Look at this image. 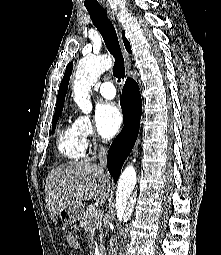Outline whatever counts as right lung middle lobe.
<instances>
[{
    "instance_id": "dd1d6c3e",
    "label": "right lung middle lobe",
    "mask_w": 221,
    "mask_h": 255,
    "mask_svg": "<svg viewBox=\"0 0 221 255\" xmlns=\"http://www.w3.org/2000/svg\"><path fill=\"white\" fill-rule=\"evenodd\" d=\"M60 114H61V111L55 112V115L53 116V120H52V130H54L56 128V123L58 121Z\"/></svg>"
}]
</instances>
